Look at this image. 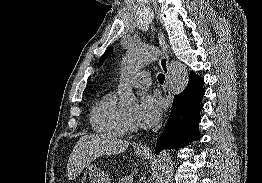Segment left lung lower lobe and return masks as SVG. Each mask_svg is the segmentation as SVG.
Listing matches in <instances>:
<instances>
[{
  "mask_svg": "<svg viewBox=\"0 0 262 183\" xmlns=\"http://www.w3.org/2000/svg\"><path fill=\"white\" fill-rule=\"evenodd\" d=\"M203 82L204 78L191 72L185 90L174 96L169 120L156 143V154L163 149L184 147L192 140L199 139L198 125L205 94Z\"/></svg>",
  "mask_w": 262,
  "mask_h": 183,
  "instance_id": "left-lung-lower-lobe-1",
  "label": "left lung lower lobe"
}]
</instances>
